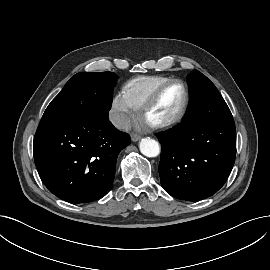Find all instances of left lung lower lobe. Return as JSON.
<instances>
[{
    "instance_id": "obj_1",
    "label": "left lung lower lobe",
    "mask_w": 270,
    "mask_h": 270,
    "mask_svg": "<svg viewBox=\"0 0 270 270\" xmlns=\"http://www.w3.org/2000/svg\"><path fill=\"white\" fill-rule=\"evenodd\" d=\"M157 138L162 145L161 184L171 196L205 199L224 185L236 156L234 120L200 122L189 105L181 125Z\"/></svg>"
}]
</instances>
